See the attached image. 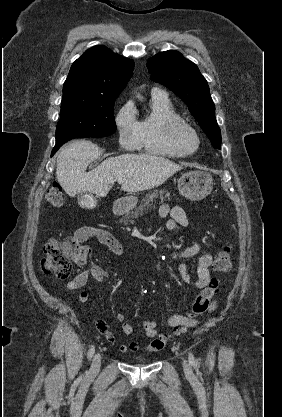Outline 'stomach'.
Listing matches in <instances>:
<instances>
[{"label": "stomach", "mask_w": 282, "mask_h": 417, "mask_svg": "<svg viewBox=\"0 0 282 417\" xmlns=\"http://www.w3.org/2000/svg\"><path fill=\"white\" fill-rule=\"evenodd\" d=\"M213 178L210 172L206 170H189L184 172L178 180V190L182 196L189 198V200H202L205 196L210 194L213 188ZM128 209H134L138 202L137 196H124Z\"/></svg>", "instance_id": "stomach-1"}]
</instances>
